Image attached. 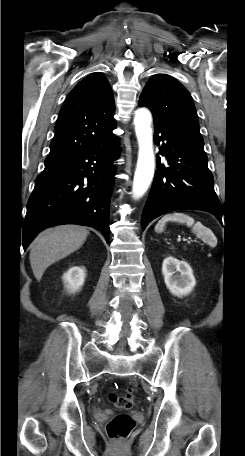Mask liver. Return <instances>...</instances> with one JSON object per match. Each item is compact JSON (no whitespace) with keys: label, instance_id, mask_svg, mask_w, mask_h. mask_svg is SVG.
<instances>
[{"label":"liver","instance_id":"6515ba94","mask_svg":"<svg viewBox=\"0 0 245 456\" xmlns=\"http://www.w3.org/2000/svg\"><path fill=\"white\" fill-rule=\"evenodd\" d=\"M88 234L79 225H61L41 232L33 241L29 255L35 278L40 281L50 265L78 250Z\"/></svg>","mask_w":245,"mask_h":456}]
</instances>
